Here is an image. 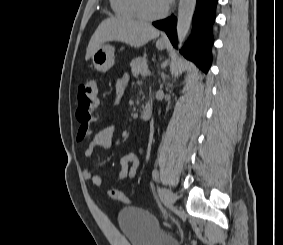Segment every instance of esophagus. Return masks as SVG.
Masks as SVG:
<instances>
[{"instance_id":"esophagus-1","label":"esophagus","mask_w":283,"mask_h":245,"mask_svg":"<svg viewBox=\"0 0 283 245\" xmlns=\"http://www.w3.org/2000/svg\"><path fill=\"white\" fill-rule=\"evenodd\" d=\"M162 40H164V41H166L167 40V38H166V36H162V38H161Z\"/></svg>"}]
</instances>
